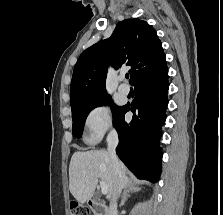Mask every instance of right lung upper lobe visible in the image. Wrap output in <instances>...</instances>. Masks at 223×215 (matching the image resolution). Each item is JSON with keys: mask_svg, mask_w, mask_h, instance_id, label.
I'll return each mask as SVG.
<instances>
[{"mask_svg": "<svg viewBox=\"0 0 223 215\" xmlns=\"http://www.w3.org/2000/svg\"><path fill=\"white\" fill-rule=\"evenodd\" d=\"M131 66L132 84L153 77L166 66L156 31L140 19L119 22L112 36L86 49L79 57L71 80V108L107 97V67Z\"/></svg>", "mask_w": 223, "mask_h": 215, "instance_id": "cb5924a9", "label": "right lung upper lobe"}]
</instances>
